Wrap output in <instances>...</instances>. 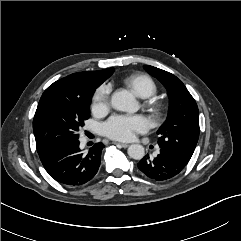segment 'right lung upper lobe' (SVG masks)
I'll return each mask as SVG.
<instances>
[{
  "label": "right lung upper lobe",
  "instance_id": "right-lung-upper-lobe-1",
  "mask_svg": "<svg viewBox=\"0 0 241 241\" xmlns=\"http://www.w3.org/2000/svg\"><path fill=\"white\" fill-rule=\"evenodd\" d=\"M114 71L109 68L100 71H86L71 74L51 84L43 93L39 105L52 93L71 94L80 96L86 89L91 86H99Z\"/></svg>",
  "mask_w": 241,
  "mask_h": 241
}]
</instances>
